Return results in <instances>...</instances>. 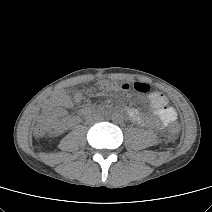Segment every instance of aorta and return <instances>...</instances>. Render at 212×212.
Segmentation results:
<instances>
[{"label":"aorta","instance_id":"obj_1","mask_svg":"<svg viewBox=\"0 0 212 212\" xmlns=\"http://www.w3.org/2000/svg\"><path fill=\"white\" fill-rule=\"evenodd\" d=\"M111 120L115 124H120L124 121V114L120 111H115L111 115Z\"/></svg>","mask_w":212,"mask_h":212}]
</instances>
